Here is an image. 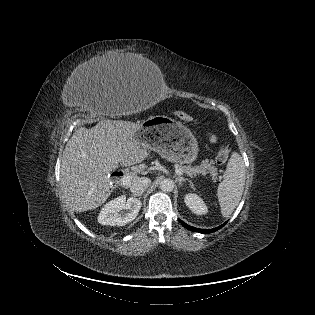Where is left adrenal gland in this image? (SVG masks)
<instances>
[{
	"instance_id": "a2214340",
	"label": "left adrenal gland",
	"mask_w": 315,
	"mask_h": 315,
	"mask_svg": "<svg viewBox=\"0 0 315 315\" xmlns=\"http://www.w3.org/2000/svg\"><path fill=\"white\" fill-rule=\"evenodd\" d=\"M177 181L179 182V185L182 184V182H185V181H188L190 183L191 186H193L191 180L187 179V178H183V177H180V176H177Z\"/></svg>"
}]
</instances>
